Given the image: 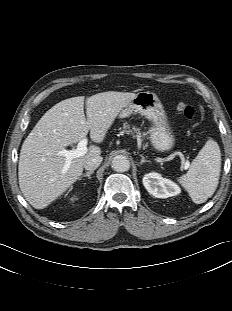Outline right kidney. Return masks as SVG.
Listing matches in <instances>:
<instances>
[{
  "label": "right kidney",
  "mask_w": 232,
  "mask_h": 311,
  "mask_svg": "<svg viewBox=\"0 0 232 311\" xmlns=\"http://www.w3.org/2000/svg\"><path fill=\"white\" fill-rule=\"evenodd\" d=\"M74 200H75V197H72V198H71V201H74Z\"/></svg>",
  "instance_id": "1"
}]
</instances>
